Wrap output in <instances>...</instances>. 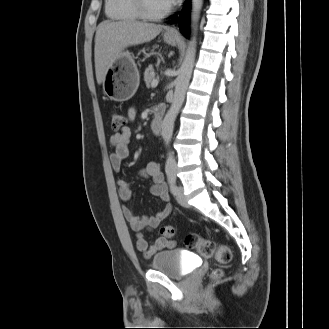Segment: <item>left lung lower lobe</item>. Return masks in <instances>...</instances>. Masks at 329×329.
Instances as JSON below:
<instances>
[{
    "mask_svg": "<svg viewBox=\"0 0 329 329\" xmlns=\"http://www.w3.org/2000/svg\"><path fill=\"white\" fill-rule=\"evenodd\" d=\"M180 23L179 28L182 34L188 38L189 37V25H190V0H186L184 3V9L179 14Z\"/></svg>",
    "mask_w": 329,
    "mask_h": 329,
    "instance_id": "1",
    "label": "left lung lower lobe"
}]
</instances>
